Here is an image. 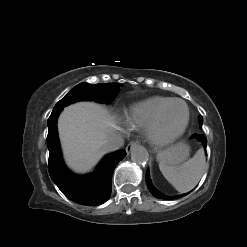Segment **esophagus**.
<instances>
[{"instance_id": "obj_1", "label": "esophagus", "mask_w": 247, "mask_h": 247, "mask_svg": "<svg viewBox=\"0 0 247 247\" xmlns=\"http://www.w3.org/2000/svg\"><path fill=\"white\" fill-rule=\"evenodd\" d=\"M138 145L137 141H131L127 146H126V152L129 154L132 150H134Z\"/></svg>"}]
</instances>
